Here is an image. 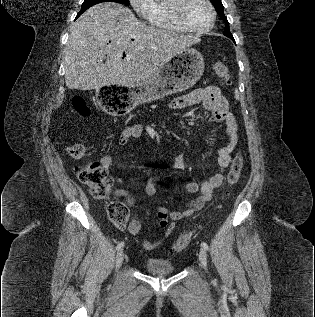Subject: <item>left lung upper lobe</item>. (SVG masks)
Instances as JSON below:
<instances>
[{
  "mask_svg": "<svg viewBox=\"0 0 315 317\" xmlns=\"http://www.w3.org/2000/svg\"><path fill=\"white\" fill-rule=\"evenodd\" d=\"M210 1L214 5V7L217 10V13L220 15L221 19H223L224 22L226 23L223 34L225 36L231 38V40L234 41L233 35L231 34V32L229 30V23L227 21V18L224 15V12H223L224 11V7H223V4H222L221 0H210Z\"/></svg>",
  "mask_w": 315,
  "mask_h": 317,
  "instance_id": "obj_1",
  "label": "left lung upper lobe"
}]
</instances>
